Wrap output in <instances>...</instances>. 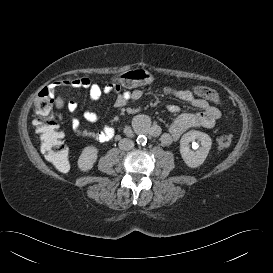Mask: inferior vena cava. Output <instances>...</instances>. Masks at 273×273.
<instances>
[{
	"label": "inferior vena cava",
	"mask_w": 273,
	"mask_h": 273,
	"mask_svg": "<svg viewBox=\"0 0 273 273\" xmlns=\"http://www.w3.org/2000/svg\"><path fill=\"white\" fill-rule=\"evenodd\" d=\"M118 146L121 150L129 151L134 147V142L128 138H124L119 141Z\"/></svg>",
	"instance_id": "inferior-vena-cava-1"
}]
</instances>
